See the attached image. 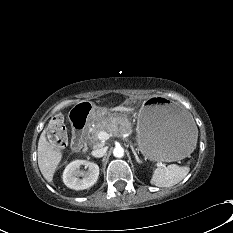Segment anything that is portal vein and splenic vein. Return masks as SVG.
<instances>
[{"label": "portal vein and splenic vein", "instance_id": "portal-vein-and-splenic-vein-1", "mask_svg": "<svg viewBox=\"0 0 233 233\" xmlns=\"http://www.w3.org/2000/svg\"><path fill=\"white\" fill-rule=\"evenodd\" d=\"M110 137H111V135L108 134V133L105 132V131H100V132L98 133V139L101 140V141H106V140H108Z\"/></svg>", "mask_w": 233, "mask_h": 233}]
</instances>
